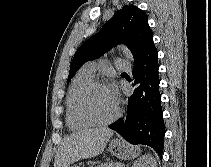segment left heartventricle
I'll use <instances>...</instances> for the list:
<instances>
[{
	"mask_svg": "<svg viewBox=\"0 0 211 167\" xmlns=\"http://www.w3.org/2000/svg\"><path fill=\"white\" fill-rule=\"evenodd\" d=\"M86 108L98 120L110 118L116 109V101L107 88L98 87L87 97Z\"/></svg>",
	"mask_w": 211,
	"mask_h": 167,
	"instance_id": "1",
	"label": "left heart ventricle"
}]
</instances>
